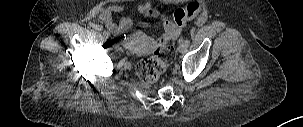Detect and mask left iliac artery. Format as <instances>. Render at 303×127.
Returning a JSON list of instances; mask_svg holds the SVG:
<instances>
[{"mask_svg": "<svg viewBox=\"0 0 303 127\" xmlns=\"http://www.w3.org/2000/svg\"><path fill=\"white\" fill-rule=\"evenodd\" d=\"M186 44L189 46L190 45V40L189 39H186Z\"/></svg>", "mask_w": 303, "mask_h": 127, "instance_id": "obj_1", "label": "left iliac artery"}]
</instances>
